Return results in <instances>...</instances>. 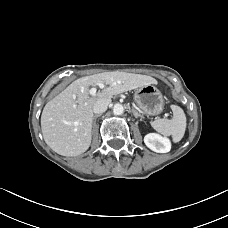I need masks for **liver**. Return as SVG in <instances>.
Masks as SVG:
<instances>
[{
    "label": "liver",
    "mask_w": 228,
    "mask_h": 228,
    "mask_svg": "<svg viewBox=\"0 0 228 228\" xmlns=\"http://www.w3.org/2000/svg\"><path fill=\"white\" fill-rule=\"evenodd\" d=\"M107 85L96 95L89 93L90 86ZM148 84H157L151 76L104 72L79 78L49 101L41 115V129L46 144L63 156L84 153L91 144L93 108L100 100Z\"/></svg>",
    "instance_id": "6515ba94"
}]
</instances>
